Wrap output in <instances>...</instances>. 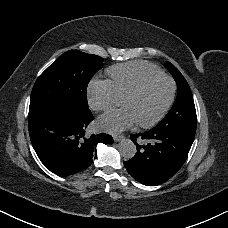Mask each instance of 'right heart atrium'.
I'll list each match as a JSON object with an SVG mask.
<instances>
[{
  "label": "right heart atrium",
  "instance_id": "right-heart-atrium-1",
  "mask_svg": "<svg viewBox=\"0 0 228 228\" xmlns=\"http://www.w3.org/2000/svg\"><path fill=\"white\" fill-rule=\"evenodd\" d=\"M88 102L93 110L103 111L118 102V95L110 81H93L88 87Z\"/></svg>",
  "mask_w": 228,
  "mask_h": 228
}]
</instances>
